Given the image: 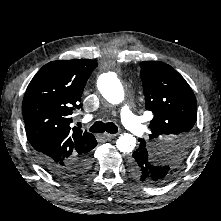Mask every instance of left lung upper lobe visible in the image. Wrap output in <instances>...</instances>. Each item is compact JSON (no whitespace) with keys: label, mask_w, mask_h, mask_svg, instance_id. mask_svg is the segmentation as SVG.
I'll return each mask as SVG.
<instances>
[{"label":"left lung upper lobe","mask_w":221,"mask_h":221,"mask_svg":"<svg viewBox=\"0 0 221 221\" xmlns=\"http://www.w3.org/2000/svg\"><path fill=\"white\" fill-rule=\"evenodd\" d=\"M141 79L146 109L154 114L149 128L152 161L163 170L154 184L169 180L192 146L197 118L194 93L185 79L160 61H143ZM145 144L143 139L139 140ZM146 145V144H145Z\"/></svg>","instance_id":"5c2ea615"}]
</instances>
